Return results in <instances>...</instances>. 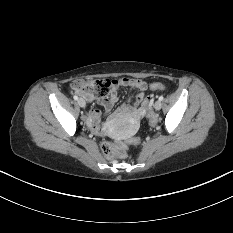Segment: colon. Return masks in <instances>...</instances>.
Returning <instances> with one entry per match:
<instances>
[{
    "label": "colon",
    "instance_id": "obj_1",
    "mask_svg": "<svg viewBox=\"0 0 233 233\" xmlns=\"http://www.w3.org/2000/svg\"><path fill=\"white\" fill-rule=\"evenodd\" d=\"M111 88V81L108 79H95V80H75L72 83V89L87 98L104 99L109 94ZM151 91H164L166 86L160 82H154L150 84ZM144 113L148 116L149 124L153 126L156 123V119L152 114V102L151 98L147 97L142 104ZM133 144H138L140 140L138 138L131 139ZM102 154L108 159H116L126 154V146L121 143H112L104 141L100 145Z\"/></svg>",
    "mask_w": 233,
    "mask_h": 233
}]
</instances>
